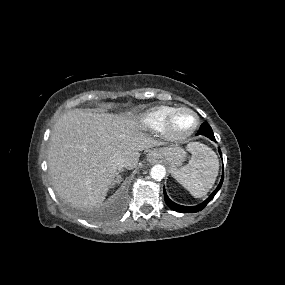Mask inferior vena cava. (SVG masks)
<instances>
[{"label": "inferior vena cava", "instance_id": "obj_1", "mask_svg": "<svg viewBox=\"0 0 285 285\" xmlns=\"http://www.w3.org/2000/svg\"><path fill=\"white\" fill-rule=\"evenodd\" d=\"M113 163L116 166L117 169H122L123 167H126V160L121 157V156H117L113 159Z\"/></svg>", "mask_w": 285, "mask_h": 285}]
</instances>
